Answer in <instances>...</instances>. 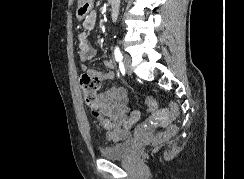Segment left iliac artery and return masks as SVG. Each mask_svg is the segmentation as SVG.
Wrapping results in <instances>:
<instances>
[{
  "instance_id": "1",
  "label": "left iliac artery",
  "mask_w": 244,
  "mask_h": 179,
  "mask_svg": "<svg viewBox=\"0 0 244 179\" xmlns=\"http://www.w3.org/2000/svg\"><path fill=\"white\" fill-rule=\"evenodd\" d=\"M114 56H115L116 61H118V62H121L123 59L122 53L118 47H115Z\"/></svg>"
}]
</instances>
